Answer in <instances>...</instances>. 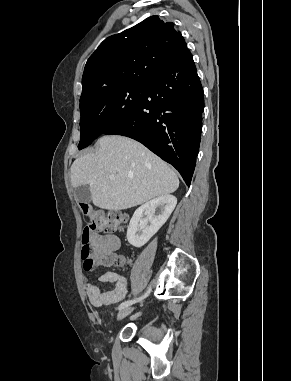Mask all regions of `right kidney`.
I'll return each mask as SVG.
<instances>
[{
	"instance_id": "right-kidney-1",
	"label": "right kidney",
	"mask_w": 291,
	"mask_h": 381,
	"mask_svg": "<svg viewBox=\"0 0 291 381\" xmlns=\"http://www.w3.org/2000/svg\"><path fill=\"white\" fill-rule=\"evenodd\" d=\"M177 204L173 195H162L146 202L133 214L128 229L127 240L135 247H142L165 224ZM156 209L159 210L155 215ZM145 215V218H143ZM150 223V225H148Z\"/></svg>"
}]
</instances>
